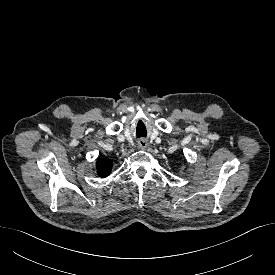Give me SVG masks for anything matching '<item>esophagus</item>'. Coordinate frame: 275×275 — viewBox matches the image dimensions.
Returning a JSON list of instances; mask_svg holds the SVG:
<instances>
[{"label":"esophagus","instance_id":"1","mask_svg":"<svg viewBox=\"0 0 275 275\" xmlns=\"http://www.w3.org/2000/svg\"><path fill=\"white\" fill-rule=\"evenodd\" d=\"M147 141H145V140H140L139 141V146L141 147V148H146L147 147Z\"/></svg>","mask_w":275,"mask_h":275}]
</instances>
